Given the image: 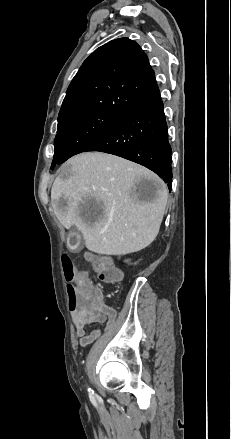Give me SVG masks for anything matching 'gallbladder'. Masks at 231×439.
Here are the masks:
<instances>
[{
  "instance_id": "obj_1",
  "label": "gallbladder",
  "mask_w": 231,
  "mask_h": 439,
  "mask_svg": "<svg viewBox=\"0 0 231 439\" xmlns=\"http://www.w3.org/2000/svg\"><path fill=\"white\" fill-rule=\"evenodd\" d=\"M67 245L73 251H80L82 249L81 236L75 229L71 230L68 234Z\"/></svg>"
}]
</instances>
